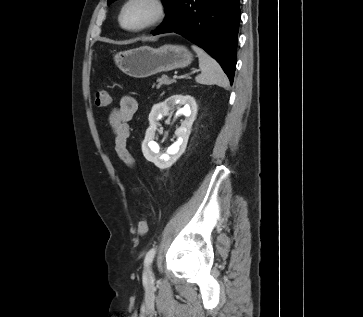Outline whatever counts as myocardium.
<instances>
[{
  "label": "myocardium",
  "mask_w": 363,
  "mask_h": 317,
  "mask_svg": "<svg viewBox=\"0 0 363 317\" xmlns=\"http://www.w3.org/2000/svg\"><path fill=\"white\" fill-rule=\"evenodd\" d=\"M137 2L148 4L151 7L152 13L142 24L135 27H127L123 24L124 13L129 6ZM166 16L167 6L163 0H126L119 10L118 23L120 27L127 32L138 33L159 25L164 21Z\"/></svg>",
  "instance_id": "obj_1"
}]
</instances>
